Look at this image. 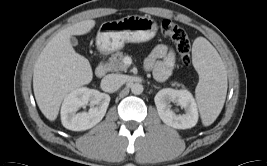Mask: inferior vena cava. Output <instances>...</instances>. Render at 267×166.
<instances>
[{"instance_id":"obj_1","label":"inferior vena cava","mask_w":267,"mask_h":166,"mask_svg":"<svg viewBox=\"0 0 267 166\" xmlns=\"http://www.w3.org/2000/svg\"><path fill=\"white\" fill-rule=\"evenodd\" d=\"M125 83L121 74H108L101 81V88L105 92L113 93Z\"/></svg>"}]
</instances>
